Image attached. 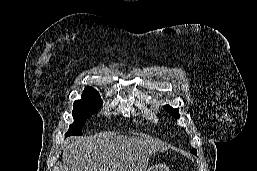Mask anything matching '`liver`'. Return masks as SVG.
<instances>
[{
    "label": "liver",
    "mask_w": 257,
    "mask_h": 171,
    "mask_svg": "<svg viewBox=\"0 0 257 171\" xmlns=\"http://www.w3.org/2000/svg\"><path fill=\"white\" fill-rule=\"evenodd\" d=\"M165 149L150 137H72L63 150V171H147L150 156Z\"/></svg>",
    "instance_id": "6515ba94"
}]
</instances>
